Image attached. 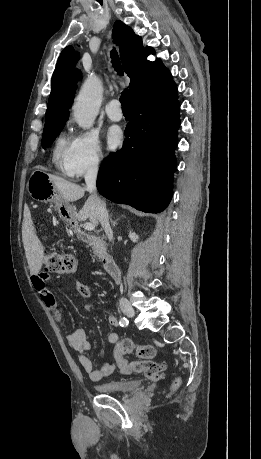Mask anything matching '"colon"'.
<instances>
[{"mask_svg": "<svg viewBox=\"0 0 261 459\" xmlns=\"http://www.w3.org/2000/svg\"><path fill=\"white\" fill-rule=\"evenodd\" d=\"M47 259V270L56 273H73L76 270V260L71 254H45ZM135 353L141 360L127 361L126 354ZM115 354L118 358L117 366L121 373H143L152 381H159L164 378L165 364L155 361L156 350L152 345H136L132 340L125 338L115 345ZM180 386V379H176L172 385V391Z\"/></svg>", "mask_w": 261, "mask_h": 459, "instance_id": "obj_1", "label": "colon"}]
</instances>
